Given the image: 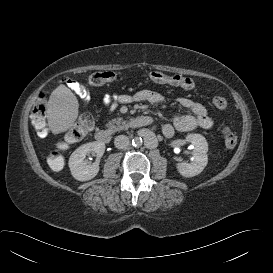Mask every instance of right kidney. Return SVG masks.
<instances>
[{
  "label": "right kidney",
  "instance_id": "obj_1",
  "mask_svg": "<svg viewBox=\"0 0 273 273\" xmlns=\"http://www.w3.org/2000/svg\"><path fill=\"white\" fill-rule=\"evenodd\" d=\"M105 151V144L100 141L89 142L78 147L69 158V167L72 176L78 181H88L99 172L100 158ZM93 152L97 157L92 164L85 160L86 155Z\"/></svg>",
  "mask_w": 273,
  "mask_h": 273
}]
</instances>
